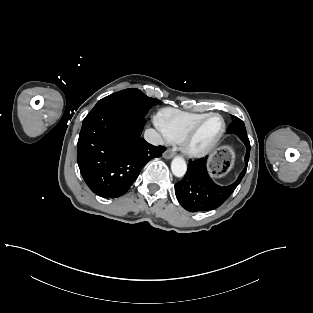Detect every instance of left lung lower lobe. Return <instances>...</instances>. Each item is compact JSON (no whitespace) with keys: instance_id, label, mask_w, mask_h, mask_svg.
Masks as SVG:
<instances>
[{"instance_id":"0a47b994","label":"left lung lower lobe","mask_w":313,"mask_h":313,"mask_svg":"<svg viewBox=\"0 0 313 313\" xmlns=\"http://www.w3.org/2000/svg\"><path fill=\"white\" fill-rule=\"evenodd\" d=\"M246 146L245 168L231 185H216L206 169L207 157L189 161L184 178L175 184V194L179 203L188 211H208L222 205L234 192L244 177L250 154V141L245 133L236 134Z\"/></svg>"}]
</instances>
